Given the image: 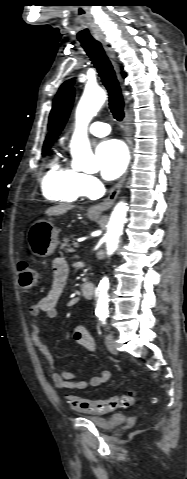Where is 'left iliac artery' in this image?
Masks as SVG:
<instances>
[{"mask_svg": "<svg viewBox=\"0 0 187 479\" xmlns=\"http://www.w3.org/2000/svg\"><path fill=\"white\" fill-rule=\"evenodd\" d=\"M108 316L107 315H102L100 319L103 321V324H106L105 320Z\"/></svg>", "mask_w": 187, "mask_h": 479, "instance_id": "1", "label": "left iliac artery"}]
</instances>
